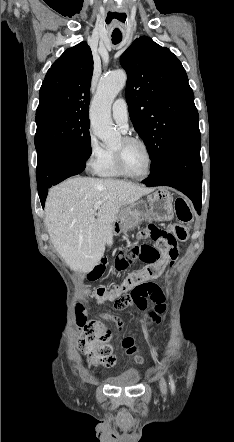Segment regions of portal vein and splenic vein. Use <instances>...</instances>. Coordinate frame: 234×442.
<instances>
[{"mask_svg": "<svg viewBox=\"0 0 234 442\" xmlns=\"http://www.w3.org/2000/svg\"><path fill=\"white\" fill-rule=\"evenodd\" d=\"M100 206H101V202H96V203L94 204V212H95L97 209H99Z\"/></svg>", "mask_w": 234, "mask_h": 442, "instance_id": "portal-vein-and-splenic-vein-1", "label": "portal vein and splenic vein"}]
</instances>
